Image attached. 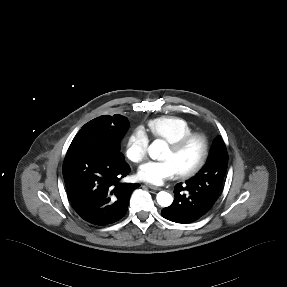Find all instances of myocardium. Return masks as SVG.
Listing matches in <instances>:
<instances>
[{
  "label": "myocardium",
  "instance_id": "myocardium-1",
  "mask_svg": "<svg viewBox=\"0 0 287 287\" xmlns=\"http://www.w3.org/2000/svg\"><path fill=\"white\" fill-rule=\"evenodd\" d=\"M195 141H198L201 145V154L194 165L178 173L179 177L181 178H189L198 173L202 169L209 155L210 150L209 141L204 134L194 132L179 139L174 143L168 144V147L171 149V151L177 154L182 152L186 147H188L191 143Z\"/></svg>",
  "mask_w": 287,
  "mask_h": 287
}]
</instances>
